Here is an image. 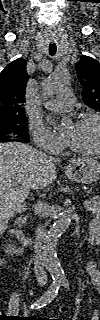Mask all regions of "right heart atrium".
Returning <instances> with one entry per match:
<instances>
[{
  "instance_id": "right-heart-atrium-1",
  "label": "right heart atrium",
  "mask_w": 100,
  "mask_h": 320,
  "mask_svg": "<svg viewBox=\"0 0 100 320\" xmlns=\"http://www.w3.org/2000/svg\"><path fill=\"white\" fill-rule=\"evenodd\" d=\"M30 129L33 141L39 148L52 153L59 152L63 148V140L43 125L32 123Z\"/></svg>"
}]
</instances>
